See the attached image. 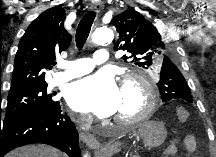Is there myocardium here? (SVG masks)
I'll return each instance as SVG.
<instances>
[{
	"label": "myocardium",
	"instance_id": "1",
	"mask_svg": "<svg viewBox=\"0 0 216 157\" xmlns=\"http://www.w3.org/2000/svg\"><path fill=\"white\" fill-rule=\"evenodd\" d=\"M128 85H136L143 91L144 107L134 117H115V120L121 125L133 127L146 121L152 115L158 104V94L151 81L140 73H125L123 75L122 88Z\"/></svg>",
	"mask_w": 216,
	"mask_h": 157
}]
</instances>
